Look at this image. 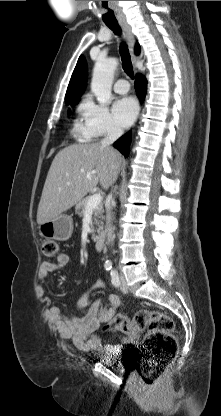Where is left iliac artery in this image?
Returning a JSON list of instances; mask_svg holds the SVG:
<instances>
[{"label": "left iliac artery", "mask_w": 221, "mask_h": 416, "mask_svg": "<svg viewBox=\"0 0 221 416\" xmlns=\"http://www.w3.org/2000/svg\"><path fill=\"white\" fill-rule=\"evenodd\" d=\"M111 282L116 287L119 286V284H120L118 272L116 270L111 271Z\"/></svg>", "instance_id": "1"}]
</instances>
